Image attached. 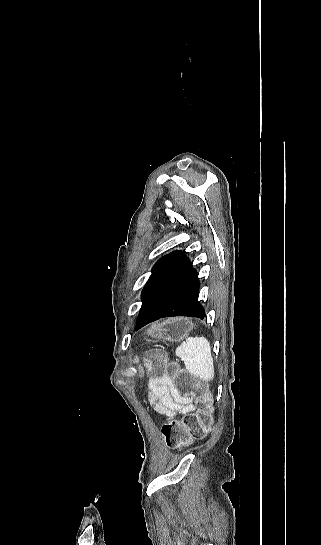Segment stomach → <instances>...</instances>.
I'll use <instances>...</instances> for the list:
<instances>
[{"label":"stomach","instance_id":"0dacf381","mask_svg":"<svg viewBox=\"0 0 321 545\" xmlns=\"http://www.w3.org/2000/svg\"><path fill=\"white\" fill-rule=\"evenodd\" d=\"M193 327V323L185 321V319H168V321L152 325L150 329H147L145 335L152 337V339H158V341H164V343L165 341L175 343V341H182Z\"/></svg>","mask_w":321,"mask_h":545}]
</instances>
